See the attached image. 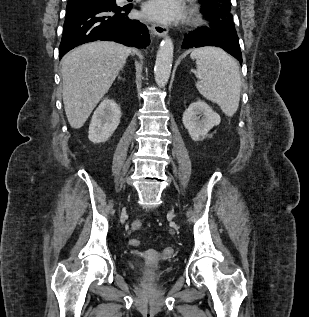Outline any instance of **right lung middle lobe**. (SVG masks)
Segmentation results:
<instances>
[{
	"mask_svg": "<svg viewBox=\"0 0 309 317\" xmlns=\"http://www.w3.org/2000/svg\"><path fill=\"white\" fill-rule=\"evenodd\" d=\"M90 1L107 3V4H116L115 0H90Z\"/></svg>",
	"mask_w": 309,
	"mask_h": 317,
	"instance_id": "dd1d6c3e",
	"label": "right lung middle lobe"
}]
</instances>
